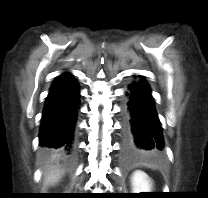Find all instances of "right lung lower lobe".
<instances>
[{
	"label": "right lung lower lobe",
	"instance_id": "right-lung-lower-lobe-1",
	"mask_svg": "<svg viewBox=\"0 0 208 198\" xmlns=\"http://www.w3.org/2000/svg\"><path fill=\"white\" fill-rule=\"evenodd\" d=\"M78 104L77 81L68 73L58 76L47 96L41 121L40 145L49 156H72Z\"/></svg>",
	"mask_w": 208,
	"mask_h": 198
}]
</instances>
